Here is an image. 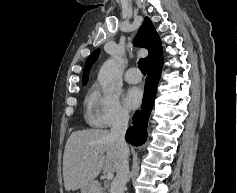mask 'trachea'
<instances>
[{"mask_svg":"<svg viewBox=\"0 0 237 193\" xmlns=\"http://www.w3.org/2000/svg\"><path fill=\"white\" fill-rule=\"evenodd\" d=\"M138 67L142 73L146 74V63H145L144 59H140L138 61Z\"/></svg>","mask_w":237,"mask_h":193,"instance_id":"obj_1","label":"trachea"}]
</instances>
